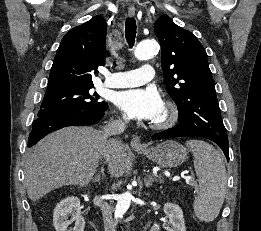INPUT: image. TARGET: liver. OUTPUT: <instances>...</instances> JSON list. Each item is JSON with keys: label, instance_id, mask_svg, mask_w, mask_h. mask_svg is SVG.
Masks as SVG:
<instances>
[{"label": "liver", "instance_id": "obj_1", "mask_svg": "<svg viewBox=\"0 0 261 231\" xmlns=\"http://www.w3.org/2000/svg\"><path fill=\"white\" fill-rule=\"evenodd\" d=\"M105 146L103 133L92 127H67L40 140L25 164L28 198L39 200L63 185H88ZM107 163L113 176H122L128 167L126 147L121 144Z\"/></svg>", "mask_w": 261, "mask_h": 231}]
</instances>
